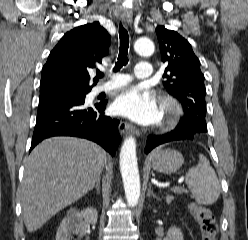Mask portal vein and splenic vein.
<instances>
[{"instance_id": "obj_1", "label": "portal vein and splenic vein", "mask_w": 248, "mask_h": 240, "mask_svg": "<svg viewBox=\"0 0 248 240\" xmlns=\"http://www.w3.org/2000/svg\"><path fill=\"white\" fill-rule=\"evenodd\" d=\"M160 186H163L162 184H159ZM173 191L174 192H177V193H182L183 192V189L180 188V187H173Z\"/></svg>"}]
</instances>
